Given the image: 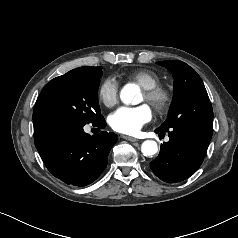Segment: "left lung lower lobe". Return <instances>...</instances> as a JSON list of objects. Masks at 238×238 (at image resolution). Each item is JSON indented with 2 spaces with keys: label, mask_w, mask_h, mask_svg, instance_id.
I'll use <instances>...</instances> for the list:
<instances>
[{
  "label": "left lung lower lobe",
  "mask_w": 238,
  "mask_h": 238,
  "mask_svg": "<svg viewBox=\"0 0 238 238\" xmlns=\"http://www.w3.org/2000/svg\"><path fill=\"white\" fill-rule=\"evenodd\" d=\"M169 141L160 147L159 155L150 162V168L161 180L176 183L189 178L202 164L212 133L176 127L167 131Z\"/></svg>",
  "instance_id": "left-lung-lower-lobe-1"
}]
</instances>
